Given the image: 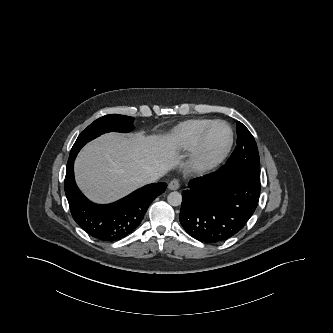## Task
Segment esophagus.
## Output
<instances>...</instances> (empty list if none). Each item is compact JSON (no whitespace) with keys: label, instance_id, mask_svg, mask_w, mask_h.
<instances>
[{"label":"esophagus","instance_id":"1","mask_svg":"<svg viewBox=\"0 0 333 333\" xmlns=\"http://www.w3.org/2000/svg\"><path fill=\"white\" fill-rule=\"evenodd\" d=\"M168 188L170 190H177V189H179L180 188V182H179V180L174 179V180L170 181V183L168 184Z\"/></svg>","mask_w":333,"mask_h":333}]
</instances>
